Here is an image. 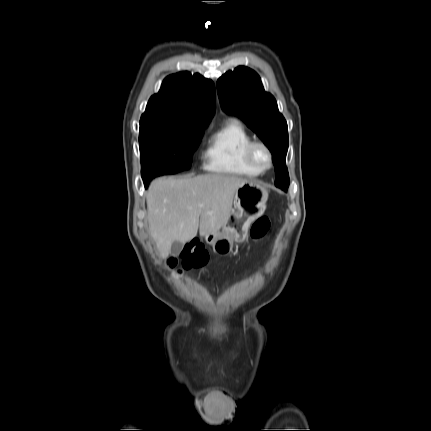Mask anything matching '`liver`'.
<instances>
[{
  "mask_svg": "<svg viewBox=\"0 0 431 431\" xmlns=\"http://www.w3.org/2000/svg\"><path fill=\"white\" fill-rule=\"evenodd\" d=\"M246 182L224 174L153 181L147 192V218L160 256L167 258L174 241H191L198 230L201 237L220 232L236 190Z\"/></svg>",
  "mask_w": 431,
  "mask_h": 431,
  "instance_id": "6515ba94",
  "label": "liver"
}]
</instances>
